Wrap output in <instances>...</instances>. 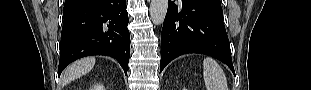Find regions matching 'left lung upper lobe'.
I'll return each instance as SVG.
<instances>
[{"label": "left lung upper lobe", "mask_w": 311, "mask_h": 90, "mask_svg": "<svg viewBox=\"0 0 311 90\" xmlns=\"http://www.w3.org/2000/svg\"><path fill=\"white\" fill-rule=\"evenodd\" d=\"M206 1L214 3V4L218 5V6H221L220 0H206Z\"/></svg>", "instance_id": "5c2ea615"}]
</instances>
